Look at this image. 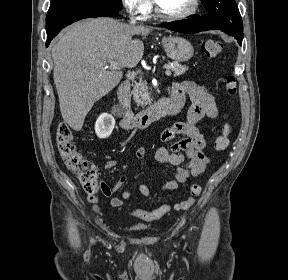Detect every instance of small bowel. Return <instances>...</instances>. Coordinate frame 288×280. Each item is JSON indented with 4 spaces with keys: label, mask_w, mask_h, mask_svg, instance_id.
Masks as SVG:
<instances>
[{
    "label": "small bowel",
    "mask_w": 288,
    "mask_h": 280,
    "mask_svg": "<svg viewBox=\"0 0 288 280\" xmlns=\"http://www.w3.org/2000/svg\"><path fill=\"white\" fill-rule=\"evenodd\" d=\"M172 97L182 101L181 110L187 97L190 99L191 105L187 111L185 121L175 122L170 127L165 128L160 134L161 141L168 144V146L157 149L155 160L160 164L172 165L176 169L173 179L162 185L163 190H174L190 177H197L205 171L210 158L204 152L208 142L201 131L199 122L205 117L215 119L221 115L220 108L214 97L194 81L188 80L175 83L172 87ZM223 116L225 117L226 115L224 114ZM179 135L181 138L176 139ZM145 155L146 149L144 147H138L134 151L136 159H142ZM115 165V160L108 159L106 160L105 169H112ZM126 181L127 176L121 175L112 187L101 183V196L88 195V200L94 203L97 210H101V207L97 204L100 198H111V207L118 208L122 206L124 200H128L131 197L129 190H124L120 197H113ZM138 191L144 197L150 196V189L146 184H139Z\"/></svg>",
    "instance_id": "obj_1"
}]
</instances>
